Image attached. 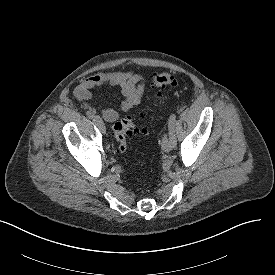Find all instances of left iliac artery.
<instances>
[{"mask_svg":"<svg viewBox=\"0 0 275 275\" xmlns=\"http://www.w3.org/2000/svg\"><path fill=\"white\" fill-rule=\"evenodd\" d=\"M175 122H176V115L172 114L168 120V130H169V136L172 139V142L174 144V146L176 145V136H175Z\"/></svg>","mask_w":275,"mask_h":275,"instance_id":"1","label":"left iliac artery"}]
</instances>
